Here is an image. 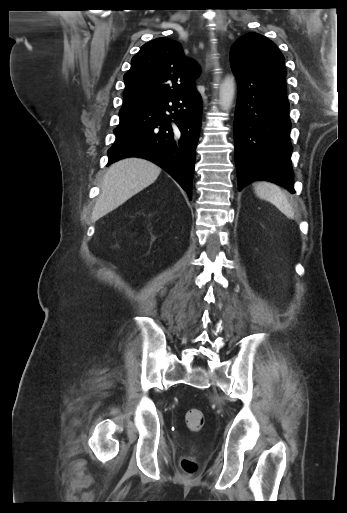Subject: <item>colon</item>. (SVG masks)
I'll use <instances>...</instances> for the list:
<instances>
[{
    "label": "colon",
    "mask_w": 347,
    "mask_h": 513,
    "mask_svg": "<svg viewBox=\"0 0 347 513\" xmlns=\"http://www.w3.org/2000/svg\"><path fill=\"white\" fill-rule=\"evenodd\" d=\"M187 426L193 431H199L204 426V414L199 409H189L185 414ZM182 471L187 476H194L198 471V464L193 457L187 456L181 460Z\"/></svg>",
    "instance_id": "obj_1"
}]
</instances>
